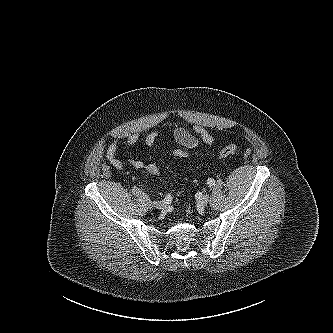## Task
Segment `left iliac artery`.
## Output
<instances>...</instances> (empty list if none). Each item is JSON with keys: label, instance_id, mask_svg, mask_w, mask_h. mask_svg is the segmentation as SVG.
<instances>
[{"label": "left iliac artery", "instance_id": "1", "mask_svg": "<svg viewBox=\"0 0 333 333\" xmlns=\"http://www.w3.org/2000/svg\"><path fill=\"white\" fill-rule=\"evenodd\" d=\"M207 184H208V186L212 187L213 185H215V180L212 179V178H209V179L207 180Z\"/></svg>", "mask_w": 333, "mask_h": 333}]
</instances>
